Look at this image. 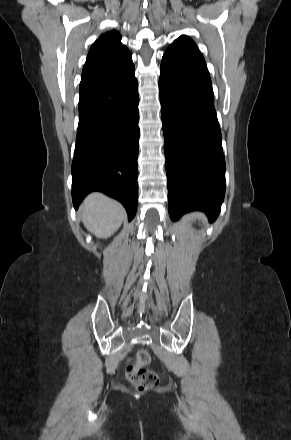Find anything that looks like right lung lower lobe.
Here are the masks:
<instances>
[{
    "label": "right lung lower lobe",
    "instance_id": "1",
    "mask_svg": "<svg viewBox=\"0 0 291 440\" xmlns=\"http://www.w3.org/2000/svg\"><path fill=\"white\" fill-rule=\"evenodd\" d=\"M134 66L80 82L79 124L72 162L77 209L91 191L120 201L132 220L138 202L139 95Z\"/></svg>",
    "mask_w": 291,
    "mask_h": 440
}]
</instances>
